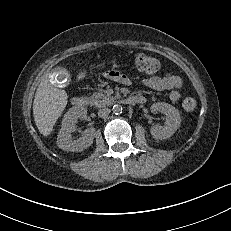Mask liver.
Returning <instances> with one entry per match:
<instances>
[{
	"instance_id": "6515ba94",
	"label": "liver",
	"mask_w": 231,
	"mask_h": 231,
	"mask_svg": "<svg viewBox=\"0 0 231 231\" xmlns=\"http://www.w3.org/2000/svg\"><path fill=\"white\" fill-rule=\"evenodd\" d=\"M65 90L54 87L47 77L40 82L34 97L33 115L35 124L43 136L53 130L57 119L67 105Z\"/></svg>"
}]
</instances>
